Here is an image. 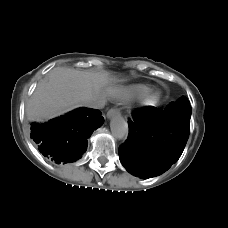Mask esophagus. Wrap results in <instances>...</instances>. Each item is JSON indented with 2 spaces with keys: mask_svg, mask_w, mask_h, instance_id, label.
<instances>
[{
  "mask_svg": "<svg viewBox=\"0 0 228 228\" xmlns=\"http://www.w3.org/2000/svg\"><path fill=\"white\" fill-rule=\"evenodd\" d=\"M120 115V111L117 108H112L107 112V118H112Z\"/></svg>",
  "mask_w": 228,
  "mask_h": 228,
  "instance_id": "obj_1",
  "label": "esophagus"
}]
</instances>
